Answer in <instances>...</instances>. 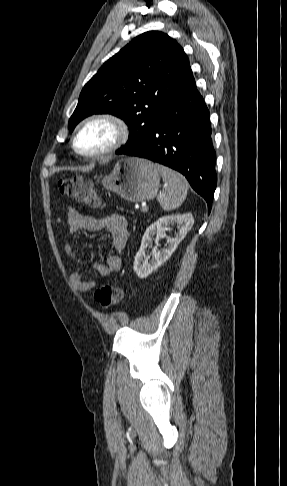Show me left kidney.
<instances>
[{
  "label": "left kidney",
  "instance_id": "1",
  "mask_svg": "<svg viewBox=\"0 0 287 486\" xmlns=\"http://www.w3.org/2000/svg\"><path fill=\"white\" fill-rule=\"evenodd\" d=\"M170 224H177L179 232L175 237L167 239L168 246L159 250L157 246L152 248V258L146 257V249L152 246V239L154 236L155 243L158 245V241L167 237L166 231L169 229ZM194 224V218L191 213L177 214L171 216H163L157 221L152 223L145 231L141 246L134 259V271L141 279L147 278L154 270L165 263L173 252L178 247L179 243L185 238L188 231L191 230Z\"/></svg>",
  "mask_w": 287,
  "mask_h": 486
}]
</instances>
